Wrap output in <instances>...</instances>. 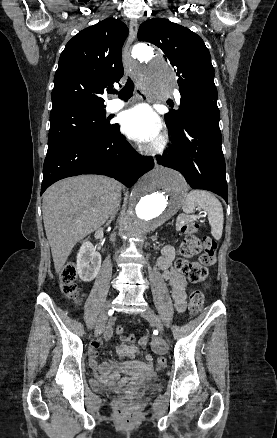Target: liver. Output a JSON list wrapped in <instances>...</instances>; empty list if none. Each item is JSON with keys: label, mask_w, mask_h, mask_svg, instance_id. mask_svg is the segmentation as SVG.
<instances>
[{"label": "liver", "mask_w": 277, "mask_h": 438, "mask_svg": "<svg viewBox=\"0 0 277 438\" xmlns=\"http://www.w3.org/2000/svg\"><path fill=\"white\" fill-rule=\"evenodd\" d=\"M123 188L106 176H75L50 186L43 194V222L56 274L77 242L92 234L120 206Z\"/></svg>", "instance_id": "liver-1"}]
</instances>
